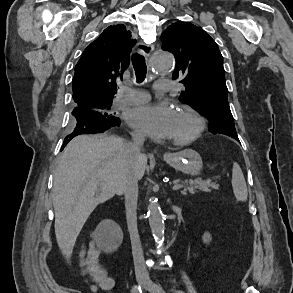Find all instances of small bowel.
<instances>
[{"label":"small bowel","mask_w":293,"mask_h":293,"mask_svg":"<svg viewBox=\"0 0 293 293\" xmlns=\"http://www.w3.org/2000/svg\"><path fill=\"white\" fill-rule=\"evenodd\" d=\"M210 241V235L208 233H205L203 235V242L205 244L209 243ZM108 280H109V286H108V291H112V289L114 288V280L112 278H109L108 277Z\"/></svg>","instance_id":"c3829d8e"}]
</instances>
